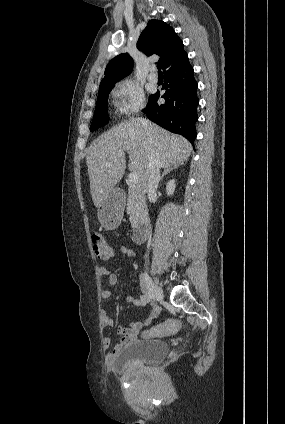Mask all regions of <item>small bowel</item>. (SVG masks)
<instances>
[{"instance_id":"1","label":"small bowel","mask_w":285,"mask_h":424,"mask_svg":"<svg viewBox=\"0 0 285 424\" xmlns=\"http://www.w3.org/2000/svg\"><path fill=\"white\" fill-rule=\"evenodd\" d=\"M120 251L122 254L127 255L131 258H136V252L129 248L128 246H121ZM100 276H108V283L111 286H114L118 282V278L116 274L111 272L108 268L101 266L97 270ZM140 290L141 295L137 298L135 297H127L126 301L128 303H132L136 306H147L150 303V299L148 297V291L146 288V284L143 281L142 277H140ZM112 295V291L110 289H104L101 292V296L103 298H110ZM157 314V309L153 308L151 310L149 318L144 322L142 320H136L130 324L129 327L119 326L117 329L118 334L120 335V341L115 345V347L105 354L106 363L110 364L114 361L115 355L126 345L135 342L138 339V336L145 325H148L152 318H154ZM114 325V319L112 316L103 312L101 315V328H108ZM104 346L108 347L111 344V339L109 337L104 338Z\"/></svg>"}]
</instances>
